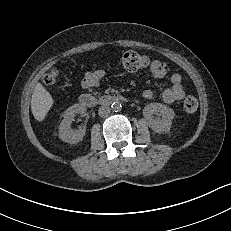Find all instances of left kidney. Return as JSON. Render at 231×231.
Masks as SVG:
<instances>
[{"label": "left kidney", "mask_w": 231, "mask_h": 231, "mask_svg": "<svg viewBox=\"0 0 231 231\" xmlns=\"http://www.w3.org/2000/svg\"><path fill=\"white\" fill-rule=\"evenodd\" d=\"M148 126L156 133H168L175 116L173 109L161 103H150L143 109ZM157 115V116H154ZM160 116L162 118H160Z\"/></svg>", "instance_id": "left-kidney-1"}]
</instances>
